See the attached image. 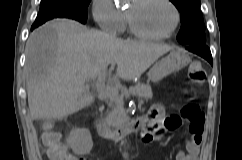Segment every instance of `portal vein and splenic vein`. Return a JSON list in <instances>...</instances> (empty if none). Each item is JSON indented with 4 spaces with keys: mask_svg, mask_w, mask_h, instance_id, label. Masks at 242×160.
<instances>
[{
    "mask_svg": "<svg viewBox=\"0 0 242 160\" xmlns=\"http://www.w3.org/2000/svg\"><path fill=\"white\" fill-rule=\"evenodd\" d=\"M106 72H102L95 83L96 89L101 93H106L111 99H118L119 95L115 88H112L105 84ZM142 102H139L138 106H141Z\"/></svg>",
    "mask_w": 242,
    "mask_h": 160,
    "instance_id": "portal-vein-and-splenic-vein-1",
    "label": "portal vein and splenic vein"
}]
</instances>
